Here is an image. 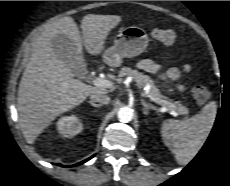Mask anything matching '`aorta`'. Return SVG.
<instances>
[{"label": "aorta", "mask_w": 230, "mask_h": 186, "mask_svg": "<svg viewBox=\"0 0 230 186\" xmlns=\"http://www.w3.org/2000/svg\"><path fill=\"white\" fill-rule=\"evenodd\" d=\"M117 116L121 122H130L133 119V110L129 107H122L118 111Z\"/></svg>", "instance_id": "aorta-1"}]
</instances>
